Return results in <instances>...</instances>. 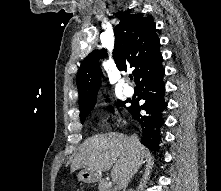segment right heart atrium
Instances as JSON below:
<instances>
[{
    "label": "right heart atrium",
    "mask_w": 221,
    "mask_h": 191,
    "mask_svg": "<svg viewBox=\"0 0 221 191\" xmlns=\"http://www.w3.org/2000/svg\"><path fill=\"white\" fill-rule=\"evenodd\" d=\"M106 120L111 122V123H114V124H120L121 123V117L117 112H113V113L109 114L106 117Z\"/></svg>",
    "instance_id": "1"
}]
</instances>
